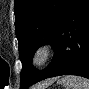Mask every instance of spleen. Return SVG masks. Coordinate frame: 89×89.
<instances>
[{
  "label": "spleen",
  "instance_id": "obj_1",
  "mask_svg": "<svg viewBox=\"0 0 89 89\" xmlns=\"http://www.w3.org/2000/svg\"><path fill=\"white\" fill-rule=\"evenodd\" d=\"M64 89H89V81L80 76L68 75L59 81Z\"/></svg>",
  "mask_w": 89,
  "mask_h": 89
}]
</instances>
